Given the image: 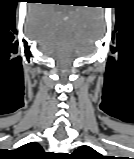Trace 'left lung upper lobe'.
I'll use <instances>...</instances> for the list:
<instances>
[{
  "instance_id": "obj_1",
  "label": "left lung upper lobe",
  "mask_w": 134,
  "mask_h": 159,
  "mask_svg": "<svg viewBox=\"0 0 134 159\" xmlns=\"http://www.w3.org/2000/svg\"><path fill=\"white\" fill-rule=\"evenodd\" d=\"M70 159H106L89 146H81L71 155Z\"/></svg>"
}]
</instances>
